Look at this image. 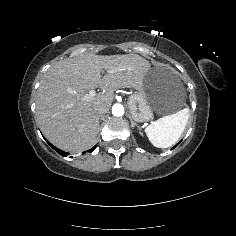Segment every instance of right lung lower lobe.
Wrapping results in <instances>:
<instances>
[{"label": "right lung lower lobe", "instance_id": "obj_1", "mask_svg": "<svg viewBox=\"0 0 236 236\" xmlns=\"http://www.w3.org/2000/svg\"><path fill=\"white\" fill-rule=\"evenodd\" d=\"M47 142H48V141H47ZM48 144H49L56 152H58L61 156L66 157V156L68 155L67 152H64V151H62V150L56 148L55 146H53V145L50 144L49 142H48ZM92 150H93V149H92ZM90 152H91V151H90Z\"/></svg>", "mask_w": 236, "mask_h": 236}]
</instances>
